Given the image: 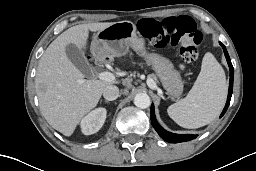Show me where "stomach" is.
<instances>
[{
    "mask_svg": "<svg viewBox=\"0 0 256 171\" xmlns=\"http://www.w3.org/2000/svg\"><path fill=\"white\" fill-rule=\"evenodd\" d=\"M94 43V53L98 58H104L107 50L121 56L132 48L155 71L169 98L176 99L183 93L184 85L179 71L168 58L146 50L145 41L137 35V28L133 22L121 21L111 24L98 31Z\"/></svg>",
    "mask_w": 256,
    "mask_h": 171,
    "instance_id": "obj_1",
    "label": "stomach"
}]
</instances>
